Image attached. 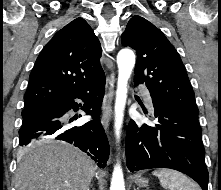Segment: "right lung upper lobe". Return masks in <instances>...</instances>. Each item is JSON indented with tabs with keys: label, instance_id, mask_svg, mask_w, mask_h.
Masks as SVG:
<instances>
[{
	"label": "right lung upper lobe",
	"instance_id": "1",
	"mask_svg": "<svg viewBox=\"0 0 221 190\" xmlns=\"http://www.w3.org/2000/svg\"><path fill=\"white\" fill-rule=\"evenodd\" d=\"M102 49L88 23L77 18L59 30L39 54L24 95V109L44 107L104 75Z\"/></svg>",
	"mask_w": 221,
	"mask_h": 190
}]
</instances>
